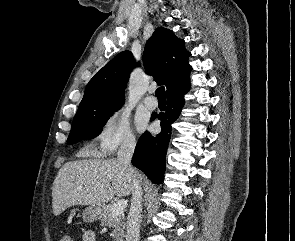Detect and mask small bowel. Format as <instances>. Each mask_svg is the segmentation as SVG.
I'll return each instance as SVG.
<instances>
[{
	"instance_id": "obj_1",
	"label": "small bowel",
	"mask_w": 295,
	"mask_h": 241,
	"mask_svg": "<svg viewBox=\"0 0 295 241\" xmlns=\"http://www.w3.org/2000/svg\"><path fill=\"white\" fill-rule=\"evenodd\" d=\"M96 235L93 230H85L82 234V241H95ZM59 241H72L69 237H62Z\"/></svg>"
}]
</instances>
